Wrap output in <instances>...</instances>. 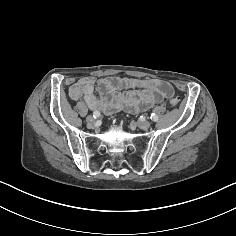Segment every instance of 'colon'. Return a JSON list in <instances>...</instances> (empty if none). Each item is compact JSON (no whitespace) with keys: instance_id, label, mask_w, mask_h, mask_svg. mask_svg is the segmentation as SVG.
Segmentation results:
<instances>
[{"instance_id":"colon-1","label":"colon","mask_w":236,"mask_h":236,"mask_svg":"<svg viewBox=\"0 0 236 236\" xmlns=\"http://www.w3.org/2000/svg\"><path fill=\"white\" fill-rule=\"evenodd\" d=\"M180 103V98L179 97H174L170 100V105L175 107L177 105H179Z\"/></svg>"}]
</instances>
